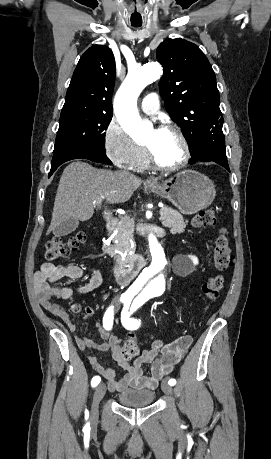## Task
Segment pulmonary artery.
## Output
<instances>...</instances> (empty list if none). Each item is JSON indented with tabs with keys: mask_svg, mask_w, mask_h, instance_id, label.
Here are the masks:
<instances>
[{
	"mask_svg": "<svg viewBox=\"0 0 271 459\" xmlns=\"http://www.w3.org/2000/svg\"><path fill=\"white\" fill-rule=\"evenodd\" d=\"M161 102L160 95H156L154 92L151 95H145L143 101L141 102V109L144 113L154 115L158 112Z\"/></svg>",
	"mask_w": 271,
	"mask_h": 459,
	"instance_id": "1",
	"label": "pulmonary artery"
}]
</instances>
